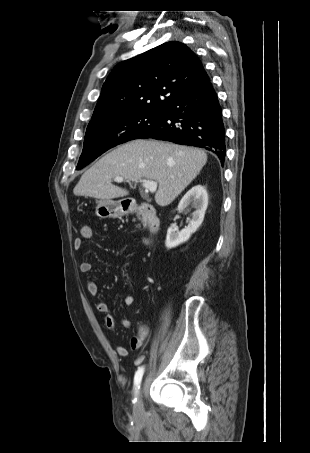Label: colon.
<instances>
[{"label": "colon", "mask_w": 310, "mask_h": 453, "mask_svg": "<svg viewBox=\"0 0 310 453\" xmlns=\"http://www.w3.org/2000/svg\"><path fill=\"white\" fill-rule=\"evenodd\" d=\"M81 234L82 236L84 237H88L91 235V227L88 225V224H84L82 227H81Z\"/></svg>", "instance_id": "1"}]
</instances>
